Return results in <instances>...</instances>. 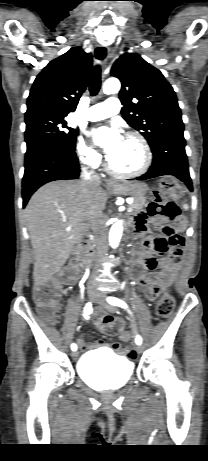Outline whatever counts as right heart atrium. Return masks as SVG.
Wrapping results in <instances>:
<instances>
[{"label": "right heart atrium", "instance_id": "right-heart-atrium-1", "mask_svg": "<svg viewBox=\"0 0 208 461\" xmlns=\"http://www.w3.org/2000/svg\"><path fill=\"white\" fill-rule=\"evenodd\" d=\"M77 158L80 164L89 169L98 168L101 164V155L89 146L83 139L77 144Z\"/></svg>", "mask_w": 208, "mask_h": 461}]
</instances>
